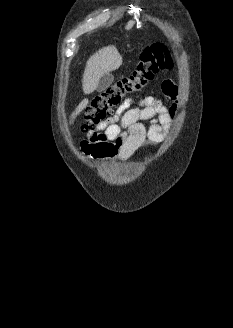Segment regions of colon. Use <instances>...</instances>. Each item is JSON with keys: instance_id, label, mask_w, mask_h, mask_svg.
Returning a JSON list of instances; mask_svg holds the SVG:
<instances>
[{"instance_id": "1", "label": "colon", "mask_w": 233, "mask_h": 328, "mask_svg": "<svg viewBox=\"0 0 233 328\" xmlns=\"http://www.w3.org/2000/svg\"><path fill=\"white\" fill-rule=\"evenodd\" d=\"M172 67L173 59L167 46L156 43L145 47L130 74L119 78L90 101L84 114L85 129H92L105 121L126 95L142 90L159 71Z\"/></svg>"}]
</instances>
